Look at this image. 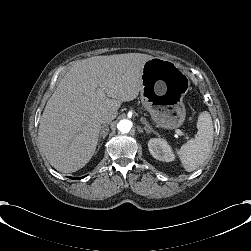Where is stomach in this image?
<instances>
[{"instance_id": "obj_1", "label": "stomach", "mask_w": 251, "mask_h": 251, "mask_svg": "<svg viewBox=\"0 0 251 251\" xmlns=\"http://www.w3.org/2000/svg\"><path fill=\"white\" fill-rule=\"evenodd\" d=\"M140 97L155 121L174 128L184 120L182 99L189 90V78L172 61L153 57L142 69Z\"/></svg>"}]
</instances>
